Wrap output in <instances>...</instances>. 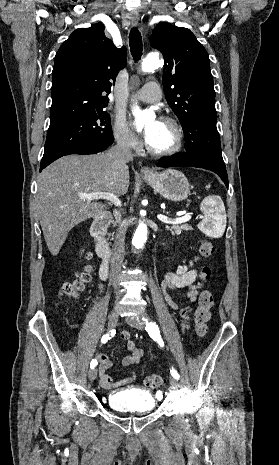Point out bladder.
Instances as JSON below:
<instances>
[{"mask_svg": "<svg viewBox=\"0 0 279 465\" xmlns=\"http://www.w3.org/2000/svg\"><path fill=\"white\" fill-rule=\"evenodd\" d=\"M106 402L110 408L119 412L149 413L156 407L153 393L137 387L112 392Z\"/></svg>", "mask_w": 279, "mask_h": 465, "instance_id": "31cf9c89", "label": "bladder"}]
</instances>
